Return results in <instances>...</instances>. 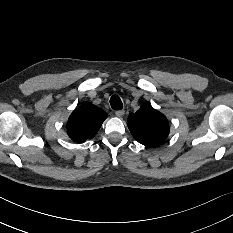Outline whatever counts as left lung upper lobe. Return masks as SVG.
I'll return each instance as SVG.
<instances>
[{
	"label": "left lung upper lobe",
	"instance_id": "left-lung-upper-lobe-1",
	"mask_svg": "<svg viewBox=\"0 0 233 233\" xmlns=\"http://www.w3.org/2000/svg\"><path fill=\"white\" fill-rule=\"evenodd\" d=\"M127 125L135 140L149 147L160 145L169 134L166 117L147 104L129 115Z\"/></svg>",
	"mask_w": 233,
	"mask_h": 233
}]
</instances>
